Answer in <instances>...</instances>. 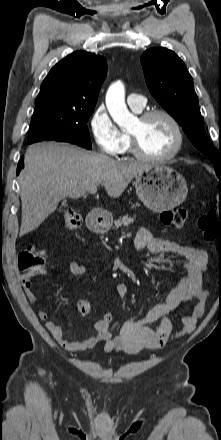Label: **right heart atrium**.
Listing matches in <instances>:
<instances>
[{
  "label": "right heart atrium",
  "instance_id": "obj_1",
  "mask_svg": "<svg viewBox=\"0 0 221 440\" xmlns=\"http://www.w3.org/2000/svg\"><path fill=\"white\" fill-rule=\"evenodd\" d=\"M89 128L100 152L117 156L125 150L126 136L119 130L104 106H98L90 116Z\"/></svg>",
  "mask_w": 221,
  "mask_h": 440
}]
</instances>
